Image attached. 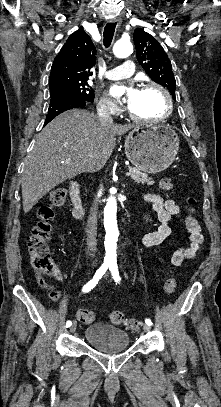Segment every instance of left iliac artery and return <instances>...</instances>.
I'll return each mask as SVG.
<instances>
[{
  "instance_id": "1",
  "label": "left iliac artery",
  "mask_w": 221,
  "mask_h": 407,
  "mask_svg": "<svg viewBox=\"0 0 221 407\" xmlns=\"http://www.w3.org/2000/svg\"><path fill=\"white\" fill-rule=\"evenodd\" d=\"M109 269H110V271H111V273H112V276H113V279L115 280V282H118V283H119L120 280H121V278H120V276H119L117 264H116V263L110 264V265H109ZM145 323H146L147 325H152L151 320L148 319V318L145 319Z\"/></svg>"
}]
</instances>
